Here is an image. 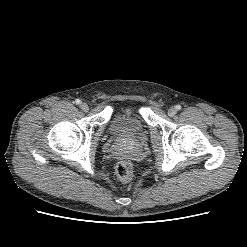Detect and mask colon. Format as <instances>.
<instances>
[{"label": "colon", "instance_id": "1", "mask_svg": "<svg viewBox=\"0 0 247 247\" xmlns=\"http://www.w3.org/2000/svg\"><path fill=\"white\" fill-rule=\"evenodd\" d=\"M116 173L120 180L130 182L134 178L132 164L128 161H120L116 166Z\"/></svg>", "mask_w": 247, "mask_h": 247}]
</instances>
